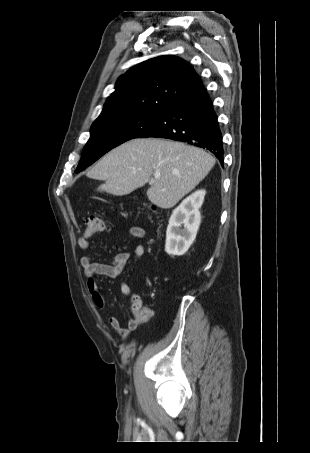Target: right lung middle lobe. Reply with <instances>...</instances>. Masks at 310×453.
Here are the masks:
<instances>
[{"label": "right lung middle lobe", "instance_id": "dd1d6c3e", "mask_svg": "<svg viewBox=\"0 0 310 453\" xmlns=\"http://www.w3.org/2000/svg\"><path fill=\"white\" fill-rule=\"evenodd\" d=\"M161 113L126 112L96 119L91 126V136L83 148L75 172H80L114 147L146 131Z\"/></svg>", "mask_w": 310, "mask_h": 453}]
</instances>
